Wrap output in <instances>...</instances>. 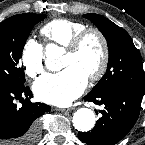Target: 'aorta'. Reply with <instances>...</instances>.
<instances>
[{"label":"aorta","mask_w":145,"mask_h":145,"mask_svg":"<svg viewBox=\"0 0 145 145\" xmlns=\"http://www.w3.org/2000/svg\"><path fill=\"white\" fill-rule=\"evenodd\" d=\"M64 49L56 44H48L45 48V66L48 70L59 71L62 68L60 58ZM95 114L91 109L80 108L73 115V125L81 132L90 131L95 125Z\"/></svg>","instance_id":"1"}]
</instances>
